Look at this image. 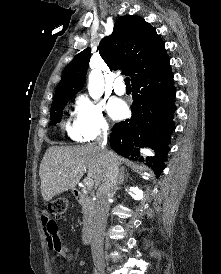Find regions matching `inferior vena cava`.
Returning <instances> with one entry per match:
<instances>
[{
    "mask_svg": "<svg viewBox=\"0 0 221 274\" xmlns=\"http://www.w3.org/2000/svg\"><path fill=\"white\" fill-rule=\"evenodd\" d=\"M107 129L103 135L101 150L105 161V171L101 185L97 190V205L92 224L91 251L94 259L103 256V235L109 211V199L117 190L118 164L111 151L106 149Z\"/></svg>",
    "mask_w": 221,
    "mask_h": 274,
    "instance_id": "602c4592",
    "label": "inferior vena cava"
}]
</instances>
